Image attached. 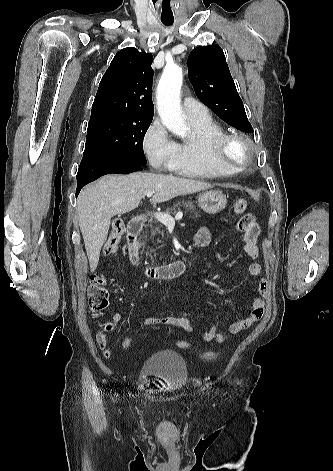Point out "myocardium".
<instances>
[{
  "instance_id": "1",
  "label": "myocardium",
  "mask_w": 333,
  "mask_h": 471,
  "mask_svg": "<svg viewBox=\"0 0 333 471\" xmlns=\"http://www.w3.org/2000/svg\"><path fill=\"white\" fill-rule=\"evenodd\" d=\"M240 150V157L233 156V149ZM252 144L244 136L225 134L215 146V157L217 161L231 169L241 170L245 168L251 158Z\"/></svg>"
}]
</instances>
